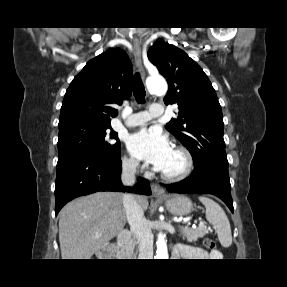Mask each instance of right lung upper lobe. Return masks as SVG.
<instances>
[{"label":"right lung upper lobe","mask_w":287,"mask_h":287,"mask_svg":"<svg viewBox=\"0 0 287 287\" xmlns=\"http://www.w3.org/2000/svg\"><path fill=\"white\" fill-rule=\"evenodd\" d=\"M132 65L127 54L110 48L90 60L68 87L58 127L74 123L111 126L117 116L114 104L121 105L131 94Z\"/></svg>","instance_id":"1"}]
</instances>
